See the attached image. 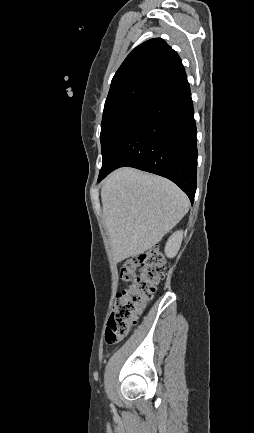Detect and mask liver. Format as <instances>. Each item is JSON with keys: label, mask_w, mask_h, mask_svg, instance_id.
<instances>
[{"label": "liver", "mask_w": 254, "mask_h": 433, "mask_svg": "<svg viewBox=\"0 0 254 433\" xmlns=\"http://www.w3.org/2000/svg\"><path fill=\"white\" fill-rule=\"evenodd\" d=\"M101 200L116 262L155 246L189 210L186 194L171 181L132 168L104 181Z\"/></svg>", "instance_id": "6515ba94"}]
</instances>
